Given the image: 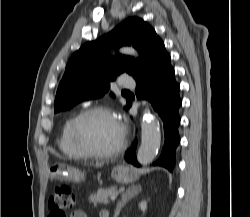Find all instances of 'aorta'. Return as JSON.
I'll use <instances>...</instances> for the list:
<instances>
[{
  "label": "aorta",
  "instance_id": "1",
  "mask_svg": "<svg viewBox=\"0 0 250 217\" xmlns=\"http://www.w3.org/2000/svg\"><path fill=\"white\" fill-rule=\"evenodd\" d=\"M122 53L138 56L135 49L126 47L121 50ZM141 145L137 152L138 162L146 166L150 164L158 153L161 143L160 125L151 114H144L141 122Z\"/></svg>",
  "mask_w": 250,
  "mask_h": 217
}]
</instances>
